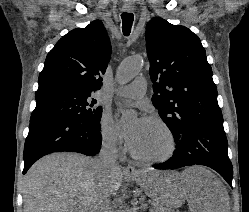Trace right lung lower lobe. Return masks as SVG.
<instances>
[{
    "label": "right lung lower lobe",
    "instance_id": "98d812e1",
    "mask_svg": "<svg viewBox=\"0 0 249 212\" xmlns=\"http://www.w3.org/2000/svg\"><path fill=\"white\" fill-rule=\"evenodd\" d=\"M99 124L51 117L30 122L24 147L23 174L39 158L53 152H78L96 155L101 147Z\"/></svg>",
    "mask_w": 249,
    "mask_h": 212
}]
</instances>
